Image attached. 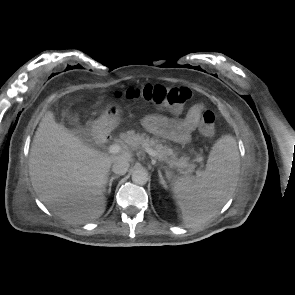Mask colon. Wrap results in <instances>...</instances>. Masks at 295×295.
Listing matches in <instances>:
<instances>
[{"label":"colon","instance_id":"obj_1","mask_svg":"<svg viewBox=\"0 0 295 295\" xmlns=\"http://www.w3.org/2000/svg\"><path fill=\"white\" fill-rule=\"evenodd\" d=\"M118 98L129 100L143 99L153 104L167 107L173 112H179L191 98V91L184 87H166L157 84H148L142 87H130L116 93ZM200 132L211 136L215 131V114L211 110H204L199 126Z\"/></svg>","mask_w":295,"mask_h":295}]
</instances>
